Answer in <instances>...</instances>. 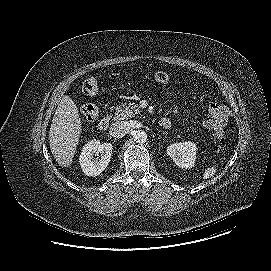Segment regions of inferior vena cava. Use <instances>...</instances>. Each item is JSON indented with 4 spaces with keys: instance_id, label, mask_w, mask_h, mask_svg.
Instances as JSON below:
<instances>
[{
    "instance_id": "obj_1",
    "label": "inferior vena cava",
    "mask_w": 271,
    "mask_h": 271,
    "mask_svg": "<svg viewBox=\"0 0 271 271\" xmlns=\"http://www.w3.org/2000/svg\"><path fill=\"white\" fill-rule=\"evenodd\" d=\"M130 132V123L126 121H117L110 127V134L115 138H123Z\"/></svg>"
}]
</instances>
